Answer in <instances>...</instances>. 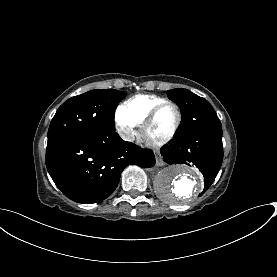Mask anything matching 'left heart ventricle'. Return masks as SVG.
Masks as SVG:
<instances>
[{
  "instance_id": "1",
  "label": "left heart ventricle",
  "mask_w": 277,
  "mask_h": 277,
  "mask_svg": "<svg viewBox=\"0 0 277 277\" xmlns=\"http://www.w3.org/2000/svg\"><path fill=\"white\" fill-rule=\"evenodd\" d=\"M177 121L176 109L173 106L164 108L154 124L148 129L146 136L150 140H160L167 136Z\"/></svg>"
}]
</instances>
